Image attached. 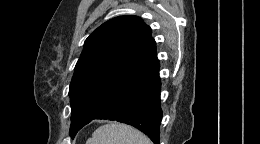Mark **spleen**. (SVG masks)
I'll list each match as a JSON object with an SVG mask.
<instances>
[{
    "label": "spleen",
    "instance_id": "spleen-1",
    "mask_svg": "<svg viewBox=\"0 0 260 144\" xmlns=\"http://www.w3.org/2000/svg\"><path fill=\"white\" fill-rule=\"evenodd\" d=\"M86 144H152L137 129L122 124L109 123L96 129Z\"/></svg>",
    "mask_w": 260,
    "mask_h": 144
}]
</instances>
